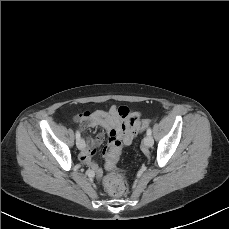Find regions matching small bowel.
<instances>
[{
  "label": "small bowel",
  "mask_w": 229,
  "mask_h": 229,
  "mask_svg": "<svg viewBox=\"0 0 229 229\" xmlns=\"http://www.w3.org/2000/svg\"><path fill=\"white\" fill-rule=\"evenodd\" d=\"M138 114L130 110L128 107H112L109 111H94V112H82L76 114L73 117L82 131L89 128L102 127L110 133L115 131L117 138L113 141H109L107 148L104 152L105 168L109 171L115 168L116 160L114 155L116 152L122 150V144H131L134 134L128 130L129 123L133 116ZM103 136L100 135L97 138H86L85 146L79 154V159L85 162L90 168L95 170L97 174H100L99 165L92 160L91 152L100 144Z\"/></svg>",
  "instance_id": "c3829d8e"
}]
</instances>
